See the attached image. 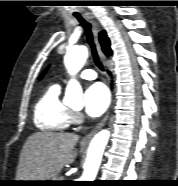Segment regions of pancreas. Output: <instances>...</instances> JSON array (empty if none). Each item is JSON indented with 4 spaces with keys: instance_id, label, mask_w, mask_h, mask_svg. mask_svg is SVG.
Here are the masks:
<instances>
[{
    "instance_id": "pancreas-1",
    "label": "pancreas",
    "mask_w": 178,
    "mask_h": 186,
    "mask_svg": "<svg viewBox=\"0 0 178 186\" xmlns=\"http://www.w3.org/2000/svg\"><path fill=\"white\" fill-rule=\"evenodd\" d=\"M55 179H56V180H59V181L62 180V178H61V177H58V176H55Z\"/></svg>"
}]
</instances>
